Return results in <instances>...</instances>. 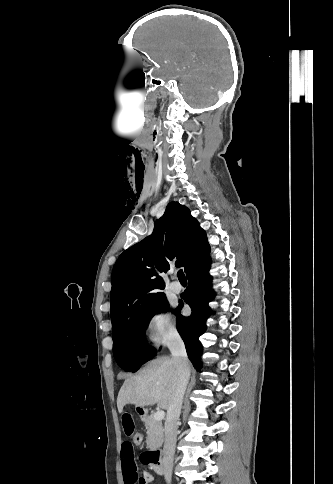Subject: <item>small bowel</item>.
<instances>
[{
	"mask_svg": "<svg viewBox=\"0 0 333 484\" xmlns=\"http://www.w3.org/2000/svg\"><path fill=\"white\" fill-rule=\"evenodd\" d=\"M121 425L126 436L131 437L136 433L135 420L131 413L122 414ZM121 466L125 484H149L153 481V476L148 471L138 473L134 447L129 441H125L121 447Z\"/></svg>",
	"mask_w": 333,
	"mask_h": 484,
	"instance_id": "small-bowel-1",
	"label": "small bowel"
}]
</instances>
